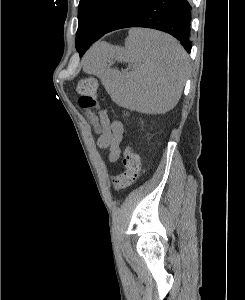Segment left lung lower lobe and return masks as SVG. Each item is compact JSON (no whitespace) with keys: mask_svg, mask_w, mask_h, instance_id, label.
<instances>
[{"mask_svg":"<svg viewBox=\"0 0 245 300\" xmlns=\"http://www.w3.org/2000/svg\"><path fill=\"white\" fill-rule=\"evenodd\" d=\"M190 21V0H136L112 22L104 34L128 27L157 29L181 40V45L190 53ZM104 34L94 35L87 41L84 39L85 46L80 56Z\"/></svg>","mask_w":245,"mask_h":300,"instance_id":"0a47b994","label":"left lung lower lobe"}]
</instances>
